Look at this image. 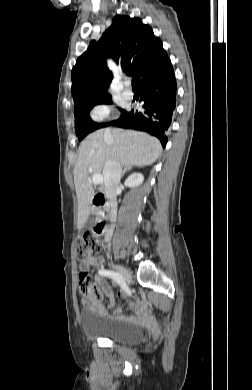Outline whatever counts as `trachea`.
<instances>
[{"label": "trachea", "instance_id": "3493384b", "mask_svg": "<svg viewBox=\"0 0 252 390\" xmlns=\"http://www.w3.org/2000/svg\"><path fill=\"white\" fill-rule=\"evenodd\" d=\"M132 87H133V88H137V85H136V82H135L134 79H132Z\"/></svg>", "mask_w": 252, "mask_h": 390}]
</instances>
